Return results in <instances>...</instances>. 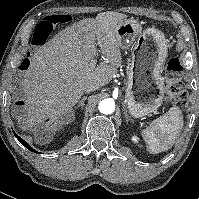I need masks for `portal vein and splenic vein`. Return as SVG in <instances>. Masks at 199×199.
Segmentation results:
<instances>
[{
	"label": "portal vein and splenic vein",
	"instance_id": "1",
	"mask_svg": "<svg viewBox=\"0 0 199 199\" xmlns=\"http://www.w3.org/2000/svg\"><path fill=\"white\" fill-rule=\"evenodd\" d=\"M96 62H97L96 59L92 60V61H91V66L94 67V66L96 65Z\"/></svg>",
	"mask_w": 199,
	"mask_h": 199
}]
</instances>
